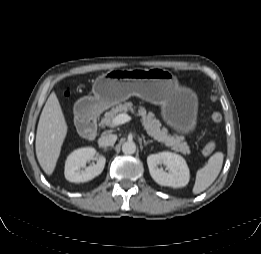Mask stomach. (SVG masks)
Wrapping results in <instances>:
<instances>
[{"label":"stomach","mask_w":261,"mask_h":254,"mask_svg":"<svg viewBox=\"0 0 261 254\" xmlns=\"http://www.w3.org/2000/svg\"><path fill=\"white\" fill-rule=\"evenodd\" d=\"M92 92L93 96L81 100L90 114L137 96L160 105L164 121L178 133L188 134L197 125L196 94L180 86L176 77L164 69L109 70L96 79Z\"/></svg>","instance_id":"0dacf381"}]
</instances>
